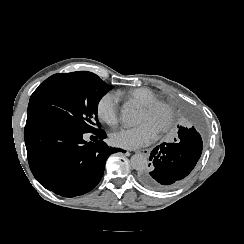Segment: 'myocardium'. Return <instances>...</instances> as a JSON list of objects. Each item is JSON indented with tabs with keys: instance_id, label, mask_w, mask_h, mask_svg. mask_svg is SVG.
Masks as SVG:
<instances>
[{
	"instance_id": "1",
	"label": "myocardium",
	"mask_w": 244,
	"mask_h": 244,
	"mask_svg": "<svg viewBox=\"0 0 244 244\" xmlns=\"http://www.w3.org/2000/svg\"><path fill=\"white\" fill-rule=\"evenodd\" d=\"M168 106L169 105L166 102H164V103L153 102V103H148V104L141 105V108L146 110V111L155 110L157 108H164L165 110H167V112L169 113L168 116L170 118V122L167 125V127L161 133H166V132L170 131L172 126H173V120L175 119L173 111Z\"/></svg>"
}]
</instances>
